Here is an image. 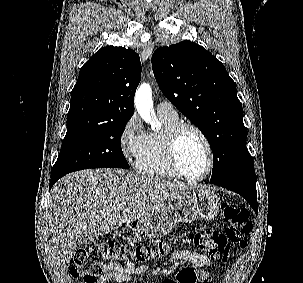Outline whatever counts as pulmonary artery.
<instances>
[{"instance_id": "1", "label": "pulmonary artery", "mask_w": 303, "mask_h": 283, "mask_svg": "<svg viewBox=\"0 0 303 283\" xmlns=\"http://www.w3.org/2000/svg\"><path fill=\"white\" fill-rule=\"evenodd\" d=\"M157 112L165 115H175L176 111L174 110L171 103L162 101L157 104Z\"/></svg>"}]
</instances>
